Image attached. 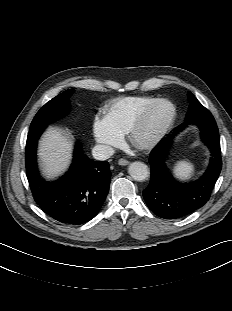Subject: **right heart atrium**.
<instances>
[{
  "instance_id": "right-heart-atrium-1",
  "label": "right heart atrium",
  "mask_w": 232,
  "mask_h": 311,
  "mask_svg": "<svg viewBox=\"0 0 232 311\" xmlns=\"http://www.w3.org/2000/svg\"><path fill=\"white\" fill-rule=\"evenodd\" d=\"M92 134L95 141L108 152L121 144V136L110 128L104 118L94 119Z\"/></svg>"
}]
</instances>
